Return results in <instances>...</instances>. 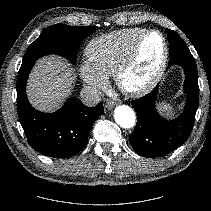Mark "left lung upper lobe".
Returning a JSON list of instances; mask_svg holds the SVG:
<instances>
[{"label":"left lung upper lobe","instance_id":"5c2ea615","mask_svg":"<svg viewBox=\"0 0 211 211\" xmlns=\"http://www.w3.org/2000/svg\"><path fill=\"white\" fill-rule=\"evenodd\" d=\"M171 32H174V31L169 30V29L166 30V33H171ZM187 50H189L188 47H187V45L185 44L184 41H182L180 47L177 50H170L169 49V55H171L172 52H176V51H187Z\"/></svg>","mask_w":211,"mask_h":211}]
</instances>
